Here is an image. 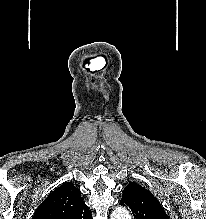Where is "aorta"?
Masks as SVG:
<instances>
[{"label":"aorta","mask_w":206,"mask_h":219,"mask_svg":"<svg viewBox=\"0 0 206 219\" xmlns=\"http://www.w3.org/2000/svg\"><path fill=\"white\" fill-rule=\"evenodd\" d=\"M111 219H131V216L124 207H116L111 214Z\"/></svg>","instance_id":"762f6f07"}]
</instances>
